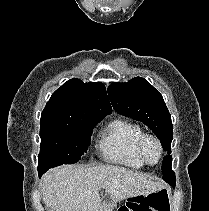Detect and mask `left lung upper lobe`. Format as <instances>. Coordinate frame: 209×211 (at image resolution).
Wrapping results in <instances>:
<instances>
[{"label": "left lung upper lobe", "mask_w": 209, "mask_h": 211, "mask_svg": "<svg viewBox=\"0 0 209 211\" xmlns=\"http://www.w3.org/2000/svg\"><path fill=\"white\" fill-rule=\"evenodd\" d=\"M114 109L146 124L160 139L163 149L171 153L173 126L162 95L144 78L135 77L126 83H112L107 89ZM172 156L163 158V179L172 178Z\"/></svg>", "instance_id": "5c2ea615"}]
</instances>
